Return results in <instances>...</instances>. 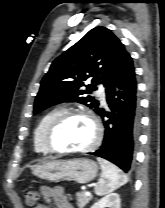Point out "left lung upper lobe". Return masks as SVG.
<instances>
[{
    "mask_svg": "<svg viewBox=\"0 0 165 208\" xmlns=\"http://www.w3.org/2000/svg\"><path fill=\"white\" fill-rule=\"evenodd\" d=\"M128 55L109 29L93 28L53 61L41 81L33 112L62 102H79L98 113L99 102L84 94H91L98 84L107 87Z\"/></svg>",
    "mask_w": 165,
    "mask_h": 208,
    "instance_id": "obj_1",
    "label": "left lung upper lobe"
}]
</instances>
